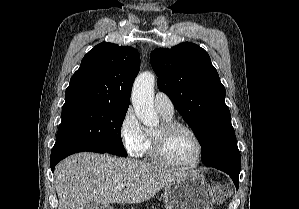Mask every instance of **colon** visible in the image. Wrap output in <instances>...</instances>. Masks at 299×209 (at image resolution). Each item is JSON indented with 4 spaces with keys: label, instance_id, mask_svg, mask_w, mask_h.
<instances>
[{
    "label": "colon",
    "instance_id": "5ec220e1",
    "mask_svg": "<svg viewBox=\"0 0 299 209\" xmlns=\"http://www.w3.org/2000/svg\"><path fill=\"white\" fill-rule=\"evenodd\" d=\"M215 200L218 203L224 202L232 193V189L228 184L214 183L212 185Z\"/></svg>",
    "mask_w": 299,
    "mask_h": 209
}]
</instances>
